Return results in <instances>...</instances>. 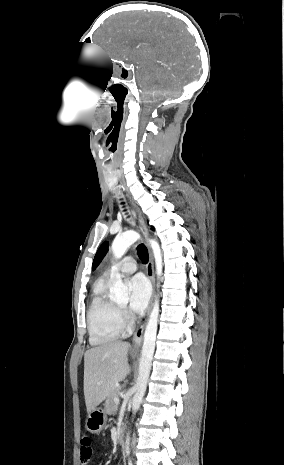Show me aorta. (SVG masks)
Listing matches in <instances>:
<instances>
[{
	"mask_svg": "<svg viewBox=\"0 0 284 465\" xmlns=\"http://www.w3.org/2000/svg\"><path fill=\"white\" fill-rule=\"evenodd\" d=\"M139 237V234L134 231H127L121 235H118L114 239L111 247L115 258L120 259L126 253L127 249L139 239ZM149 244L152 248L155 259L156 274L157 276H160L162 274L163 267L160 246L155 240L152 239L149 240ZM110 297L115 302H127L128 300V287L123 283L120 274H116L115 282L110 289ZM158 315L159 300L156 296L153 309L144 332V342L139 363V373L135 384V393L132 399L133 415H135V413L140 408L142 398L146 391L155 349ZM125 452L127 455L130 454V433H128L126 436Z\"/></svg>",
	"mask_w": 284,
	"mask_h": 465,
	"instance_id": "1",
	"label": "aorta"
}]
</instances>
